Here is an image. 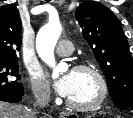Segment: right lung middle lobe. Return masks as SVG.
<instances>
[{"label":"right lung middle lobe","instance_id":"dd1d6c3e","mask_svg":"<svg viewBox=\"0 0 133 118\" xmlns=\"http://www.w3.org/2000/svg\"><path fill=\"white\" fill-rule=\"evenodd\" d=\"M18 74V61L0 60V92H10L23 85Z\"/></svg>","mask_w":133,"mask_h":118}]
</instances>
